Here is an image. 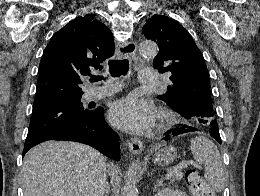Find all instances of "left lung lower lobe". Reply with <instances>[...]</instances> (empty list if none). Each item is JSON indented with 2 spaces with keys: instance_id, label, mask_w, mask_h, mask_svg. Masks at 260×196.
Masks as SVG:
<instances>
[{
  "instance_id": "0a47b994",
  "label": "left lung lower lobe",
  "mask_w": 260,
  "mask_h": 196,
  "mask_svg": "<svg viewBox=\"0 0 260 196\" xmlns=\"http://www.w3.org/2000/svg\"><path fill=\"white\" fill-rule=\"evenodd\" d=\"M214 114L215 113H214L213 109L207 108V107L196 108V109L189 112V116H191V117H201V118L211 117ZM182 128H188V129H182ZM193 131H198V129L193 127V126H182L181 128L167 131L165 133L166 136H165L164 139L167 140L170 137V135L176 136L178 134H182V133H186V132H193ZM210 135L214 139H216L220 144L222 143L221 138H220V134H219L218 124H217L216 120L211 123Z\"/></svg>"
}]
</instances>
